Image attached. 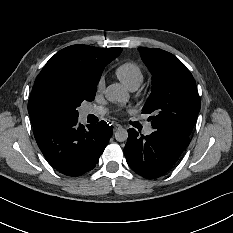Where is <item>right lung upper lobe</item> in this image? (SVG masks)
I'll return each instance as SVG.
<instances>
[{
	"mask_svg": "<svg viewBox=\"0 0 233 233\" xmlns=\"http://www.w3.org/2000/svg\"><path fill=\"white\" fill-rule=\"evenodd\" d=\"M121 48L101 49L88 45H72L57 52L38 74L28 102L32 126L44 123L39 116V103L44 88L55 80L85 84L99 82L104 67L116 58Z\"/></svg>",
	"mask_w": 233,
	"mask_h": 233,
	"instance_id": "1",
	"label": "right lung upper lobe"
}]
</instances>
